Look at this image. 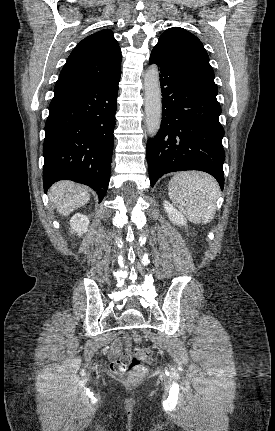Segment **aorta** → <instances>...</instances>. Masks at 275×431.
<instances>
[{
	"label": "aorta",
	"instance_id": "762f6f07",
	"mask_svg": "<svg viewBox=\"0 0 275 431\" xmlns=\"http://www.w3.org/2000/svg\"><path fill=\"white\" fill-rule=\"evenodd\" d=\"M145 122L151 137L157 135L162 118V96L159 82V68L152 64L144 76Z\"/></svg>",
	"mask_w": 275,
	"mask_h": 431
}]
</instances>
